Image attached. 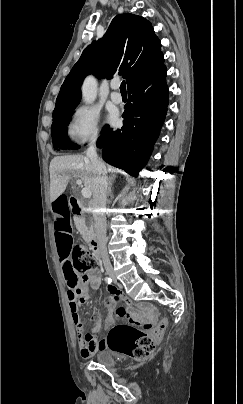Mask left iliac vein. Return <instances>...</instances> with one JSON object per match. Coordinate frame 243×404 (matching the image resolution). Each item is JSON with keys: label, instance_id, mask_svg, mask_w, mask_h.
<instances>
[{"label": "left iliac vein", "instance_id": "left-iliac-vein-1", "mask_svg": "<svg viewBox=\"0 0 243 404\" xmlns=\"http://www.w3.org/2000/svg\"><path fill=\"white\" fill-rule=\"evenodd\" d=\"M114 282L117 283L116 279H114Z\"/></svg>", "mask_w": 243, "mask_h": 404}]
</instances>
